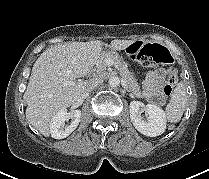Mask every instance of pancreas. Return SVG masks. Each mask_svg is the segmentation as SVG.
Segmentation results:
<instances>
[{
	"label": "pancreas",
	"mask_w": 209,
	"mask_h": 179,
	"mask_svg": "<svg viewBox=\"0 0 209 179\" xmlns=\"http://www.w3.org/2000/svg\"><path fill=\"white\" fill-rule=\"evenodd\" d=\"M107 59H111L114 65L118 67L120 75L126 81L129 91L136 97H141V90L137 80L134 78V75L128 70L123 58L119 56L116 52L102 53V56L99 58L96 65L95 77L99 79L106 77Z\"/></svg>",
	"instance_id": "obj_1"
}]
</instances>
